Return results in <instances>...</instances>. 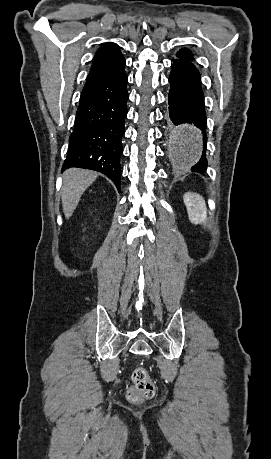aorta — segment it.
I'll return each instance as SVG.
<instances>
[{"label": "aorta", "mask_w": 271, "mask_h": 459, "mask_svg": "<svg viewBox=\"0 0 271 459\" xmlns=\"http://www.w3.org/2000/svg\"><path fill=\"white\" fill-rule=\"evenodd\" d=\"M169 157L175 168L188 169L203 152L200 132L193 126L175 127L169 133Z\"/></svg>", "instance_id": "obj_1"}]
</instances>
